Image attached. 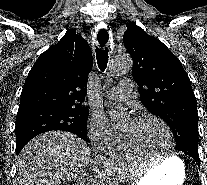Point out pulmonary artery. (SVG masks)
Instances as JSON below:
<instances>
[{
  "label": "pulmonary artery",
  "mask_w": 207,
  "mask_h": 185,
  "mask_svg": "<svg viewBox=\"0 0 207 185\" xmlns=\"http://www.w3.org/2000/svg\"><path fill=\"white\" fill-rule=\"evenodd\" d=\"M133 85V81H120V87L110 89L105 93V97L118 101L126 100L129 97L130 91H133Z\"/></svg>",
  "instance_id": "1"
}]
</instances>
